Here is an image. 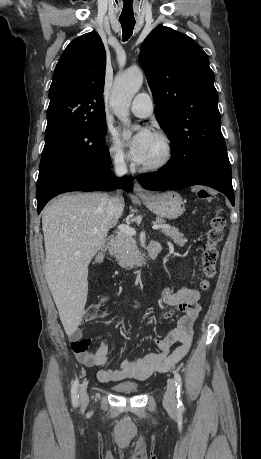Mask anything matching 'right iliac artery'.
I'll use <instances>...</instances> for the list:
<instances>
[{
    "mask_svg": "<svg viewBox=\"0 0 261 459\" xmlns=\"http://www.w3.org/2000/svg\"><path fill=\"white\" fill-rule=\"evenodd\" d=\"M78 387H79V381L77 379L74 381L72 388H71V398H72L73 406L78 405V399H79Z\"/></svg>",
    "mask_w": 261,
    "mask_h": 459,
    "instance_id": "right-iliac-artery-1",
    "label": "right iliac artery"
}]
</instances>
